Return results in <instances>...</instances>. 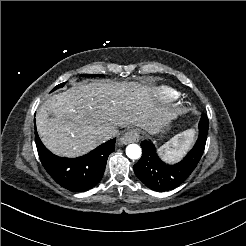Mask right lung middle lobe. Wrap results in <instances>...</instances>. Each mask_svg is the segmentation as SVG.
I'll return each instance as SVG.
<instances>
[{
    "label": "right lung middle lobe",
    "instance_id": "dd1d6c3e",
    "mask_svg": "<svg viewBox=\"0 0 246 246\" xmlns=\"http://www.w3.org/2000/svg\"><path fill=\"white\" fill-rule=\"evenodd\" d=\"M83 76H86V77H95V76H100V75H90V74H84ZM64 83L62 84H59L58 86H56L52 91H54L55 89L59 88V87H63Z\"/></svg>",
    "mask_w": 246,
    "mask_h": 246
}]
</instances>
